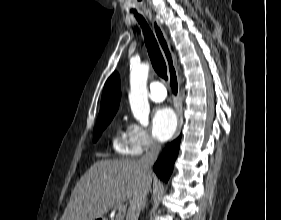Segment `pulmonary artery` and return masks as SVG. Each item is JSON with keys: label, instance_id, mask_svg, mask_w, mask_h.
I'll list each match as a JSON object with an SVG mask.
<instances>
[{"label": "pulmonary artery", "instance_id": "e3ab8cb5", "mask_svg": "<svg viewBox=\"0 0 281 220\" xmlns=\"http://www.w3.org/2000/svg\"><path fill=\"white\" fill-rule=\"evenodd\" d=\"M149 97L154 102H162L166 98V89L158 81L152 82L149 86Z\"/></svg>", "mask_w": 281, "mask_h": 220}]
</instances>
